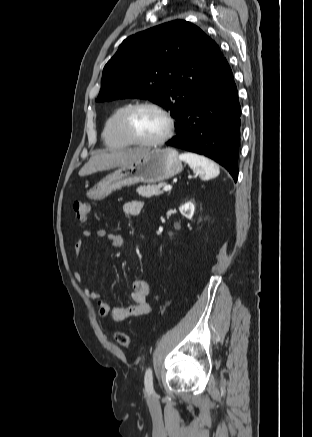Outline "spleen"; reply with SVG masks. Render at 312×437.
Listing matches in <instances>:
<instances>
[{"mask_svg": "<svg viewBox=\"0 0 312 437\" xmlns=\"http://www.w3.org/2000/svg\"><path fill=\"white\" fill-rule=\"evenodd\" d=\"M180 160L186 162L202 179L208 180L219 175V167L204 156L185 152L180 154Z\"/></svg>", "mask_w": 312, "mask_h": 437, "instance_id": "3e777b00", "label": "spleen"}]
</instances>
